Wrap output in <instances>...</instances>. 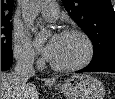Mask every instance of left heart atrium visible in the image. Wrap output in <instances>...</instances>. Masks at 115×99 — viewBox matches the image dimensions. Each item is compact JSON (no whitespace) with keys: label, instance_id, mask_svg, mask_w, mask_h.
Listing matches in <instances>:
<instances>
[{"label":"left heart atrium","instance_id":"left-heart-atrium-1","mask_svg":"<svg viewBox=\"0 0 115 99\" xmlns=\"http://www.w3.org/2000/svg\"><path fill=\"white\" fill-rule=\"evenodd\" d=\"M60 36L61 35H59V34L53 35L52 38L47 43V45L45 46L43 53L48 59L52 58L55 48L59 42Z\"/></svg>","mask_w":115,"mask_h":99}]
</instances>
